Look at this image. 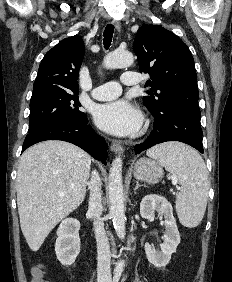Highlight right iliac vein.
<instances>
[{
	"mask_svg": "<svg viewBox=\"0 0 232 282\" xmlns=\"http://www.w3.org/2000/svg\"><path fill=\"white\" fill-rule=\"evenodd\" d=\"M98 282H107V281H105V280H101V281H98Z\"/></svg>",
	"mask_w": 232,
	"mask_h": 282,
	"instance_id": "1",
	"label": "right iliac vein"
}]
</instances>
